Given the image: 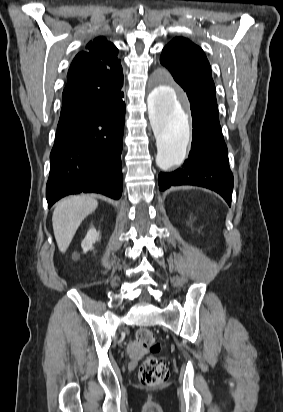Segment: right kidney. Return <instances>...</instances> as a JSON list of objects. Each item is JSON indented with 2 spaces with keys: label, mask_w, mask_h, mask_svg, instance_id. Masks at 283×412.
<instances>
[{
  "label": "right kidney",
  "mask_w": 283,
  "mask_h": 412,
  "mask_svg": "<svg viewBox=\"0 0 283 412\" xmlns=\"http://www.w3.org/2000/svg\"><path fill=\"white\" fill-rule=\"evenodd\" d=\"M98 240H99V232H97L95 228H91L87 232L86 237L81 243L83 252L86 253L89 250H93V244Z\"/></svg>",
  "instance_id": "obj_1"
}]
</instances>
